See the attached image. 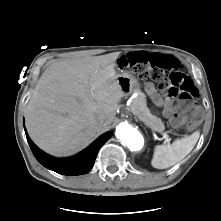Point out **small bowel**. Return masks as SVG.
I'll return each mask as SVG.
<instances>
[{"mask_svg":"<svg viewBox=\"0 0 221 221\" xmlns=\"http://www.w3.org/2000/svg\"><path fill=\"white\" fill-rule=\"evenodd\" d=\"M134 53L137 52H131L128 55L124 56V57H128L129 55H132ZM144 53L146 56L152 53L149 52H142ZM146 61V60H145ZM150 92L153 98V101L155 102V104L157 105H163L164 106V115L167 117H172L174 116V114L181 108L182 103L179 101L175 100V96H171V95H167L165 96L163 99L155 93V91L150 88Z\"/></svg>","mask_w":221,"mask_h":221,"instance_id":"1","label":"small bowel"}]
</instances>
